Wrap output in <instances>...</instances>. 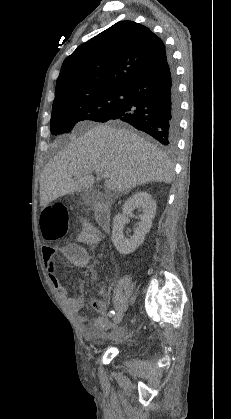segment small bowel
Masks as SVG:
<instances>
[{"instance_id":"c3829d8e","label":"small bowel","mask_w":231,"mask_h":419,"mask_svg":"<svg viewBox=\"0 0 231 419\" xmlns=\"http://www.w3.org/2000/svg\"><path fill=\"white\" fill-rule=\"evenodd\" d=\"M49 207V206H48ZM80 244L69 243L56 249L53 247L43 248V257L48 276L54 288L58 291L64 302L66 303L69 310L72 312H80L84 305L85 299L82 294L84 284L83 282L78 283L79 294L71 296L68 294L66 288L60 282L56 271L55 257L57 253H60L62 259L69 263L71 266L76 268H84L89 263V254L82 245L96 246L100 241V235L97 230L89 222L82 221V232L78 237ZM96 264L93 265L95 270ZM95 279H97V273L95 272ZM105 294V291H102ZM91 305L100 314L93 321L88 322L84 317H80V321L83 323L82 333L85 339L94 341L103 336L110 327V322L107 319L108 305L105 301L92 300ZM116 331L115 334H119Z\"/></svg>"}]
</instances>
